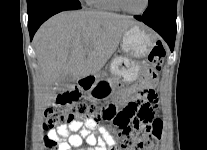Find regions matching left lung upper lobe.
<instances>
[{
    "label": "left lung upper lobe",
    "mask_w": 207,
    "mask_h": 150,
    "mask_svg": "<svg viewBox=\"0 0 207 150\" xmlns=\"http://www.w3.org/2000/svg\"><path fill=\"white\" fill-rule=\"evenodd\" d=\"M177 0H149L148 7L143 15H152L163 10L165 7L176 4Z\"/></svg>",
    "instance_id": "1"
}]
</instances>
